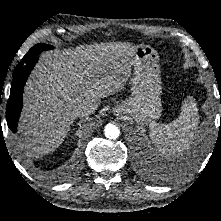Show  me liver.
Masks as SVG:
<instances>
[{
    "instance_id": "6515ba94",
    "label": "liver",
    "mask_w": 221,
    "mask_h": 221,
    "mask_svg": "<svg viewBox=\"0 0 221 221\" xmlns=\"http://www.w3.org/2000/svg\"><path fill=\"white\" fill-rule=\"evenodd\" d=\"M137 45L111 42L47 51L24 91L21 145L32 157L58 148L83 102L96 107L121 90L131 74Z\"/></svg>"
}]
</instances>
